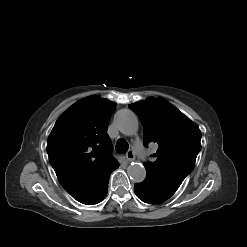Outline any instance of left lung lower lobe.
<instances>
[{
	"mask_svg": "<svg viewBox=\"0 0 247 247\" xmlns=\"http://www.w3.org/2000/svg\"><path fill=\"white\" fill-rule=\"evenodd\" d=\"M136 196L145 203L159 204L169 199L175 192L166 186L154 175L147 172L146 179L134 187Z\"/></svg>",
	"mask_w": 247,
	"mask_h": 247,
	"instance_id": "0a47b994",
	"label": "left lung lower lobe"
}]
</instances>
